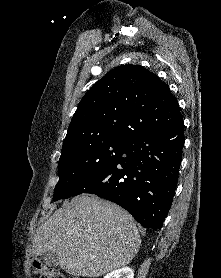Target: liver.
<instances>
[{"label": "liver", "instance_id": "6515ba94", "mask_svg": "<svg viewBox=\"0 0 221 278\" xmlns=\"http://www.w3.org/2000/svg\"><path fill=\"white\" fill-rule=\"evenodd\" d=\"M140 245L135 221L127 211L84 194L55 211L37 229L32 254L53 252L65 272L95 278L129 264Z\"/></svg>", "mask_w": 221, "mask_h": 278}]
</instances>
